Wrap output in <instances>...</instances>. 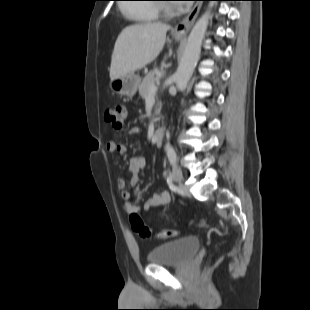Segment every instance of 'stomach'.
Instances as JSON below:
<instances>
[{
    "label": "stomach",
    "mask_w": 310,
    "mask_h": 310,
    "mask_svg": "<svg viewBox=\"0 0 310 310\" xmlns=\"http://www.w3.org/2000/svg\"><path fill=\"white\" fill-rule=\"evenodd\" d=\"M176 37V40H180ZM140 85V77L134 73H128L110 81V88L119 95L133 97Z\"/></svg>",
    "instance_id": "1"
}]
</instances>
